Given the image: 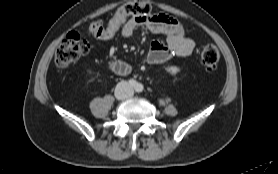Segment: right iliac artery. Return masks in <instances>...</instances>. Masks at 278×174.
I'll return each instance as SVG.
<instances>
[{"label":"right iliac artery","mask_w":278,"mask_h":174,"mask_svg":"<svg viewBox=\"0 0 278 174\" xmlns=\"http://www.w3.org/2000/svg\"><path fill=\"white\" fill-rule=\"evenodd\" d=\"M128 83H129V85H130L131 87L136 88V86H137V82H136L134 79H130V80L128 81Z\"/></svg>","instance_id":"obj_1"}]
</instances>
